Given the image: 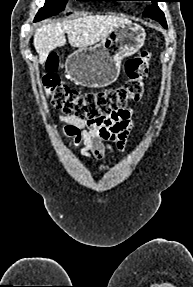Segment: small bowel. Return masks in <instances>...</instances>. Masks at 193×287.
<instances>
[{"mask_svg":"<svg viewBox=\"0 0 193 287\" xmlns=\"http://www.w3.org/2000/svg\"><path fill=\"white\" fill-rule=\"evenodd\" d=\"M132 110L120 108L100 120H87L72 114L58 116L61 129L70 133L77 145L84 146L81 154L88 162L101 161L114 149L123 150L133 129Z\"/></svg>","mask_w":193,"mask_h":287,"instance_id":"1","label":"small bowel"}]
</instances>
